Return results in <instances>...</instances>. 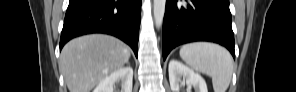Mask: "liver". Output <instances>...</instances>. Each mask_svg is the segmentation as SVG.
I'll list each match as a JSON object with an SVG mask.
<instances>
[{
  "mask_svg": "<svg viewBox=\"0 0 296 92\" xmlns=\"http://www.w3.org/2000/svg\"><path fill=\"white\" fill-rule=\"evenodd\" d=\"M129 58L128 46L119 39L103 34L85 35L63 47L59 70L70 92H90Z\"/></svg>",
  "mask_w": 296,
  "mask_h": 92,
  "instance_id": "liver-1",
  "label": "liver"
}]
</instances>
